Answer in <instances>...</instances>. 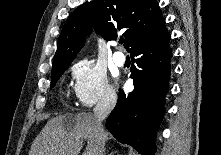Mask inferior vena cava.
<instances>
[{"instance_id": "obj_1", "label": "inferior vena cava", "mask_w": 221, "mask_h": 155, "mask_svg": "<svg viewBox=\"0 0 221 155\" xmlns=\"http://www.w3.org/2000/svg\"><path fill=\"white\" fill-rule=\"evenodd\" d=\"M116 101H117L116 93L109 92L104 97L101 98V100L97 103V105L93 109L100 134L99 155H104V144H105L102 138L103 136L102 121L108 117V115L114 108Z\"/></svg>"}]
</instances>
